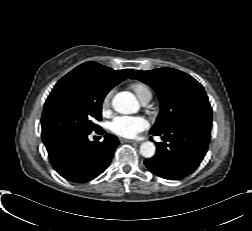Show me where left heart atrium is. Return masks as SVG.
Here are the masks:
<instances>
[{
  "label": "left heart atrium",
  "mask_w": 252,
  "mask_h": 231,
  "mask_svg": "<svg viewBox=\"0 0 252 231\" xmlns=\"http://www.w3.org/2000/svg\"><path fill=\"white\" fill-rule=\"evenodd\" d=\"M149 126L142 116H116L110 123V129L117 135L132 138Z\"/></svg>",
  "instance_id": "obj_1"
}]
</instances>
